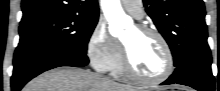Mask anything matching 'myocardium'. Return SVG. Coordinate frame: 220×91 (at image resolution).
Returning a JSON list of instances; mask_svg holds the SVG:
<instances>
[{
    "instance_id": "f54148a6",
    "label": "myocardium",
    "mask_w": 220,
    "mask_h": 91,
    "mask_svg": "<svg viewBox=\"0 0 220 91\" xmlns=\"http://www.w3.org/2000/svg\"><path fill=\"white\" fill-rule=\"evenodd\" d=\"M136 29L142 34L153 35L154 37H156L159 40L160 44L162 45V47L164 49L165 55H166V68L160 75L155 76V77H145L143 75H140L133 68L128 50H127L126 46L124 45V43H122V65H123L124 74L128 78L135 80V81L142 83V84H157V83H160V82L166 80L173 73L174 64H175L173 51L171 49L169 42L167 41V39L165 38V36L161 32H159L158 30H156L152 27L139 25L136 27Z\"/></svg>"
}]
</instances>
